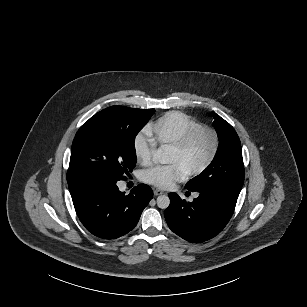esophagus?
I'll list each match as a JSON object with an SVG mask.
<instances>
[{
    "mask_svg": "<svg viewBox=\"0 0 307 307\" xmlns=\"http://www.w3.org/2000/svg\"><path fill=\"white\" fill-rule=\"evenodd\" d=\"M162 194H164V192L162 190H159V189L154 190L155 196H159V195H162Z\"/></svg>",
    "mask_w": 307,
    "mask_h": 307,
    "instance_id": "34e87169",
    "label": "esophagus"
}]
</instances>
